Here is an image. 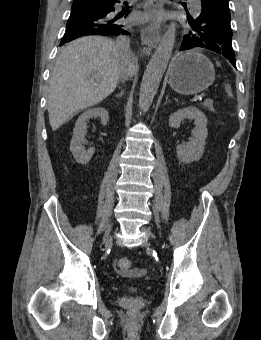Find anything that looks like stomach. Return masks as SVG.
Instances as JSON below:
<instances>
[{
    "mask_svg": "<svg viewBox=\"0 0 261 340\" xmlns=\"http://www.w3.org/2000/svg\"><path fill=\"white\" fill-rule=\"evenodd\" d=\"M215 79V69L204 55L188 51L174 58L169 68V84L177 93L197 94L207 89Z\"/></svg>",
    "mask_w": 261,
    "mask_h": 340,
    "instance_id": "obj_1",
    "label": "stomach"
}]
</instances>
